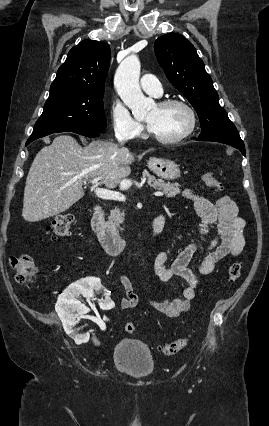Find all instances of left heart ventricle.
Listing matches in <instances>:
<instances>
[{
	"label": "left heart ventricle",
	"mask_w": 269,
	"mask_h": 426,
	"mask_svg": "<svg viewBox=\"0 0 269 426\" xmlns=\"http://www.w3.org/2000/svg\"><path fill=\"white\" fill-rule=\"evenodd\" d=\"M149 129L157 136L173 138L183 133L189 126L190 117L180 105L159 107L155 105L145 119Z\"/></svg>",
	"instance_id": "obj_1"
}]
</instances>
